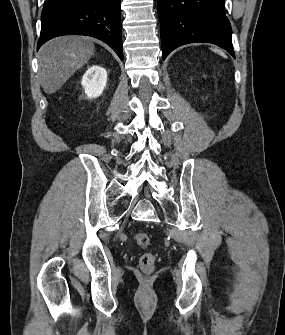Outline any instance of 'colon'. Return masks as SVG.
<instances>
[{
  "label": "colon",
  "mask_w": 285,
  "mask_h": 335,
  "mask_svg": "<svg viewBox=\"0 0 285 335\" xmlns=\"http://www.w3.org/2000/svg\"><path fill=\"white\" fill-rule=\"evenodd\" d=\"M136 243L141 247H146L150 243V238L147 233L139 232L135 236ZM156 257L152 253H145L140 258V267L142 271L149 273L154 269Z\"/></svg>",
  "instance_id": "colon-1"
}]
</instances>
